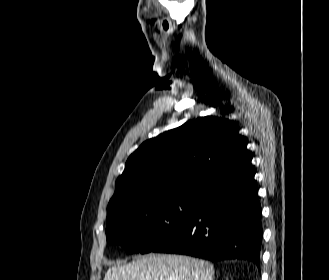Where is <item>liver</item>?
Wrapping results in <instances>:
<instances>
[{"label":"liver","mask_w":329,"mask_h":280,"mask_svg":"<svg viewBox=\"0 0 329 280\" xmlns=\"http://www.w3.org/2000/svg\"><path fill=\"white\" fill-rule=\"evenodd\" d=\"M210 263L184 256L148 254L131 263H117L108 269L104 280H213Z\"/></svg>","instance_id":"1"}]
</instances>
